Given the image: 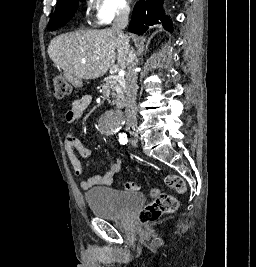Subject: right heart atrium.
<instances>
[{
	"label": "right heart atrium",
	"mask_w": 256,
	"mask_h": 267,
	"mask_svg": "<svg viewBox=\"0 0 256 267\" xmlns=\"http://www.w3.org/2000/svg\"><path fill=\"white\" fill-rule=\"evenodd\" d=\"M117 16L115 17H108L105 15H102L100 12L96 13L95 15V24L97 27H101L99 26V23H102V25H111L114 20L116 19Z\"/></svg>",
	"instance_id": "1"
}]
</instances>
